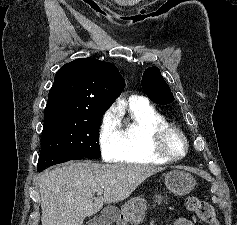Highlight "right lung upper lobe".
Here are the masks:
<instances>
[{
	"label": "right lung upper lobe",
	"mask_w": 237,
	"mask_h": 225,
	"mask_svg": "<svg viewBox=\"0 0 237 225\" xmlns=\"http://www.w3.org/2000/svg\"><path fill=\"white\" fill-rule=\"evenodd\" d=\"M123 86L124 80L113 64L93 58L76 59L56 73L48 94L44 120L104 114L121 94Z\"/></svg>",
	"instance_id": "1"
}]
</instances>
